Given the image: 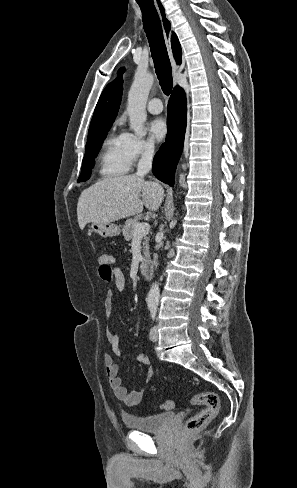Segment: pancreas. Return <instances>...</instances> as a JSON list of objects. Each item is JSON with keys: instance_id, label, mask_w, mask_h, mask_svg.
<instances>
[{"instance_id": "cf45deb5", "label": "pancreas", "mask_w": 297, "mask_h": 488, "mask_svg": "<svg viewBox=\"0 0 297 488\" xmlns=\"http://www.w3.org/2000/svg\"><path fill=\"white\" fill-rule=\"evenodd\" d=\"M138 219H128L125 222V225L123 226L122 232L123 236L126 241H130L133 239V234H134V228L135 225L138 224ZM149 237L144 236V241H143V254L144 258L148 259L149 258V245H148Z\"/></svg>"}]
</instances>
